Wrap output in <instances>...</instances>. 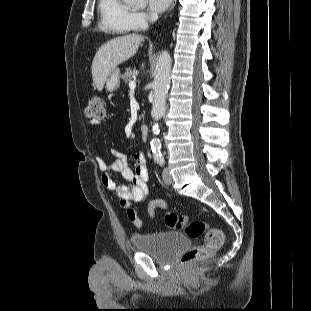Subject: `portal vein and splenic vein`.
Returning a JSON list of instances; mask_svg holds the SVG:
<instances>
[{
    "label": "portal vein and splenic vein",
    "mask_w": 311,
    "mask_h": 311,
    "mask_svg": "<svg viewBox=\"0 0 311 311\" xmlns=\"http://www.w3.org/2000/svg\"><path fill=\"white\" fill-rule=\"evenodd\" d=\"M129 88L130 89H135L136 88V82L135 81H130L129 82Z\"/></svg>",
    "instance_id": "obj_1"
}]
</instances>
